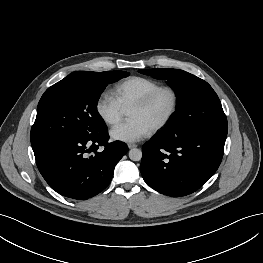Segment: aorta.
Segmentation results:
<instances>
[{
  "mask_svg": "<svg viewBox=\"0 0 263 263\" xmlns=\"http://www.w3.org/2000/svg\"><path fill=\"white\" fill-rule=\"evenodd\" d=\"M129 158L132 161H140L142 158V151L137 148H133L129 151Z\"/></svg>",
  "mask_w": 263,
  "mask_h": 263,
  "instance_id": "1",
  "label": "aorta"
}]
</instances>
